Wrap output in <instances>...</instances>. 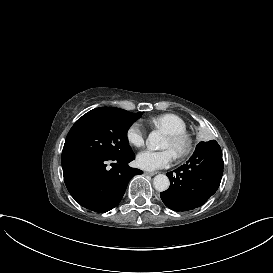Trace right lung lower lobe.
Wrapping results in <instances>:
<instances>
[{"label":"right lung lower lobe","instance_id":"98d812e1","mask_svg":"<svg viewBox=\"0 0 273 273\" xmlns=\"http://www.w3.org/2000/svg\"><path fill=\"white\" fill-rule=\"evenodd\" d=\"M134 158L132 151L112 158H74L62 164L66 187L81 206L105 213L120 202L130 179L142 174L128 166Z\"/></svg>","mask_w":273,"mask_h":273}]
</instances>
